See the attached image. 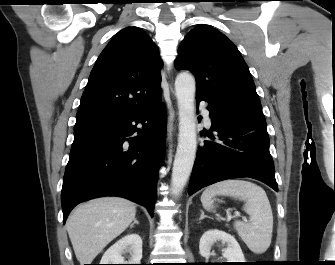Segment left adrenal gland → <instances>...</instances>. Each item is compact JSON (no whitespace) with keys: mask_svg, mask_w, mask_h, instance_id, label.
I'll list each match as a JSON object with an SVG mask.
<instances>
[{"mask_svg":"<svg viewBox=\"0 0 335 265\" xmlns=\"http://www.w3.org/2000/svg\"><path fill=\"white\" fill-rule=\"evenodd\" d=\"M208 217L207 215L204 214V211L201 210V216L199 220H202L203 218Z\"/></svg>","mask_w":335,"mask_h":265,"instance_id":"left-adrenal-gland-1","label":"left adrenal gland"}]
</instances>
